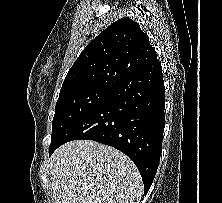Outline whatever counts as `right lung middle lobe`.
Segmentation results:
<instances>
[{
	"mask_svg": "<svg viewBox=\"0 0 222 203\" xmlns=\"http://www.w3.org/2000/svg\"><path fill=\"white\" fill-rule=\"evenodd\" d=\"M112 89L99 86L70 87L60 90L52 122V145L75 121L104 101Z\"/></svg>",
	"mask_w": 222,
	"mask_h": 203,
	"instance_id": "obj_1",
	"label": "right lung middle lobe"
}]
</instances>
